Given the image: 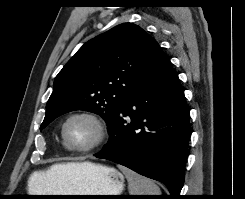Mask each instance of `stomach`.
<instances>
[{
  "label": "stomach",
  "instance_id": "obj_1",
  "mask_svg": "<svg viewBox=\"0 0 245 199\" xmlns=\"http://www.w3.org/2000/svg\"><path fill=\"white\" fill-rule=\"evenodd\" d=\"M60 193L49 195H120L124 189V176L114 168L87 163L76 169ZM101 196H76L53 199H102Z\"/></svg>",
  "mask_w": 245,
  "mask_h": 199
}]
</instances>
